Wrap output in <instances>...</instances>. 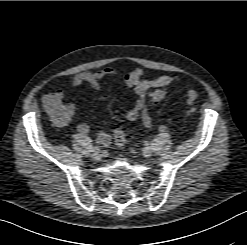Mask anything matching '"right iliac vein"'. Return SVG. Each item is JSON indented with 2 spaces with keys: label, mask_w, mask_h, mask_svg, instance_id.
Returning a JSON list of instances; mask_svg holds the SVG:
<instances>
[{
  "label": "right iliac vein",
  "mask_w": 247,
  "mask_h": 245,
  "mask_svg": "<svg viewBox=\"0 0 247 245\" xmlns=\"http://www.w3.org/2000/svg\"><path fill=\"white\" fill-rule=\"evenodd\" d=\"M91 157L94 159V160H99L101 158V154L99 151L97 152H93Z\"/></svg>",
  "instance_id": "63e3f726"
}]
</instances>
